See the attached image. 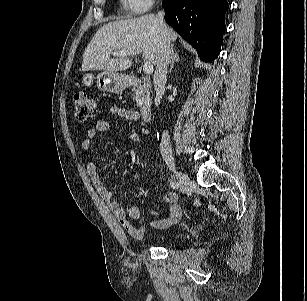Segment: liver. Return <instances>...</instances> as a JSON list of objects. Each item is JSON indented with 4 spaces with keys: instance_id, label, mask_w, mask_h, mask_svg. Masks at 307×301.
<instances>
[{
    "instance_id": "6515ba94",
    "label": "liver",
    "mask_w": 307,
    "mask_h": 301,
    "mask_svg": "<svg viewBox=\"0 0 307 301\" xmlns=\"http://www.w3.org/2000/svg\"><path fill=\"white\" fill-rule=\"evenodd\" d=\"M177 40V33L162 23L157 15L118 20L103 25L83 53L82 70L123 71L131 67L127 56L110 58L117 51H142L143 58L157 64L163 38Z\"/></svg>"
}]
</instances>
